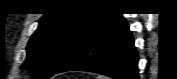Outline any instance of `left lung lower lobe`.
Returning <instances> with one entry per match:
<instances>
[{"label":"left lung lower lobe","mask_w":177,"mask_h":79,"mask_svg":"<svg viewBox=\"0 0 177 79\" xmlns=\"http://www.w3.org/2000/svg\"><path fill=\"white\" fill-rule=\"evenodd\" d=\"M138 55L121 14L107 16L73 48L54 73L81 70L114 79H138Z\"/></svg>","instance_id":"obj_1"}]
</instances>
